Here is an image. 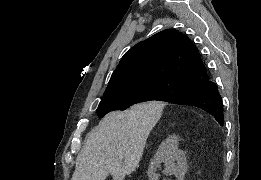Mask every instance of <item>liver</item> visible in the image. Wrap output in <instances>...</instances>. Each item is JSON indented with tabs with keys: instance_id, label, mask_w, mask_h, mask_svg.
Wrapping results in <instances>:
<instances>
[{
	"instance_id": "1",
	"label": "liver",
	"mask_w": 261,
	"mask_h": 180,
	"mask_svg": "<svg viewBox=\"0 0 261 180\" xmlns=\"http://www.w3.org/2000/svg\"><path fill=\"white\" fill-rule=\"evenodd\" d=\"M158 102L137 104L125 112H110L87 136L76 158L71 180H125L135 172L153 130Z\"/></svg>"
}]
</instances>
